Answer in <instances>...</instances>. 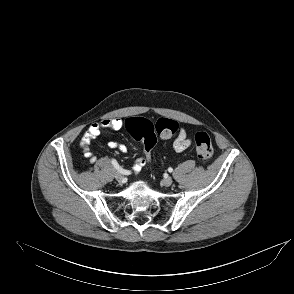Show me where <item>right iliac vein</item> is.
<instances>
[{
	"label": "right iliac vein",
	"instance_id": "right-iliac-vein-1",
	"mask_svg": "<svg viewBox=\"0 0 294 294\" xmlns=\"http://www.w3.org/2000/svg\"><path fill=\"white\" fill-rule=\"evenodd\" d=\"M115 179L117 182L122 183L124 180V176L121 173H115Z\"/></svg>",
	"mask_w": 294,
	"mask_h": 294
}]
</instances>
